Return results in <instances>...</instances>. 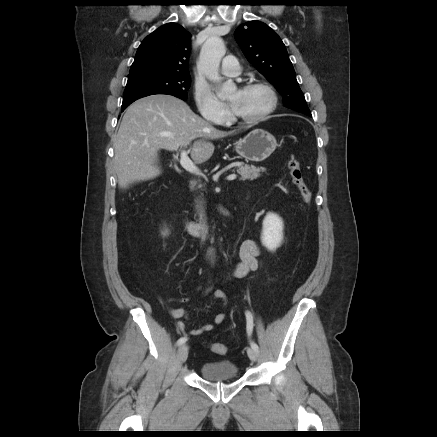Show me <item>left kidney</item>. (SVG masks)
Returning <instances> with one entry per match:
<instances>
[{"instance_id":"1","label":"left kidney","mask_w":437,"mask_h":437,"mask_svg":"<svg viewBox=\"0 0 437 437\" xmlns=\"http://www.w3.org/2000/svg\"><path fill=\"white\" fill-rule=\"evenodd\" d=\"M283 240V221L273 213H269L263 220L261 234L262 244L270 251L278 248Z\"/></svg>"}]
</instances>
